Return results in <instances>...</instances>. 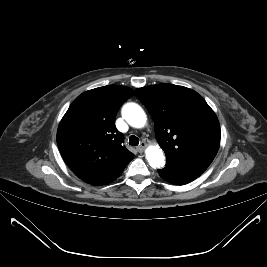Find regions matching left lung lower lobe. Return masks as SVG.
Returning a JSON list of instances; mask_svg holds the SVG:
<instances>
[{"label":"left lung lower lobe","instance_id":"obj_1","mask_svg":"<svg viewBox=\"0 0 267 267\" xmlns=\"http://www.w3.org/2000/svg\"><path fill=\"white\" fill-rule=\"evenodd\" d=\"M158 172L163 179L175 185L187 184L203 173L168 160L166 161V167L158 170Z\"/></svg>","mask_w":267,"mask_h":267}]
</instances>
